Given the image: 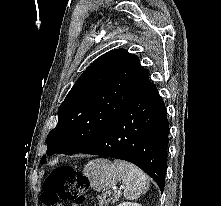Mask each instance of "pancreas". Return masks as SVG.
Segmentation results:
<instances>
[{
	"label": "pancreas",
	"instance_id": "1",
	"mask_svg": "<svg viewBox=\"0 0 221 206\" xmlns=\"http://www.w3.org/2000/svg\"><path fill=\"white\" fill-rule=\"evenodd\" d=\"M118 198H119V194H117V193L114 194V198H112L110 196L107 197L106 194H103L98 199L99 200V206H108L110 202L114 203L118 200Z\"/></svg>",
	"mask_w": 221,
	"mask_h": 206
}]
</instances>
